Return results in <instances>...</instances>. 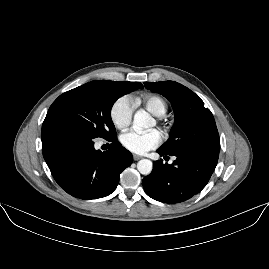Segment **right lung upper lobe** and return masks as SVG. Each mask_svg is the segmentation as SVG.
I'll return each instance as SVG.
<instances>
[{
    "instance_id": "right-lung-upper-lobe-1",
    "label": "right lung upper lobe",
    "mask_w": 269,
    "mask_h": 269,
    "mask_svg": "<svg viewBox=\"0 0 269 269\" xmlns=\"http://www.w3.org/2000/svg\"><path fill=\"white\" fill-rule=\"evenodd\" d=\"M93 84H97L106 88L116 89V90H130L134 88H143L142 84L139 82H123V81H109V80H96L91 81Z\"/></svg>"
}]
</instances>
